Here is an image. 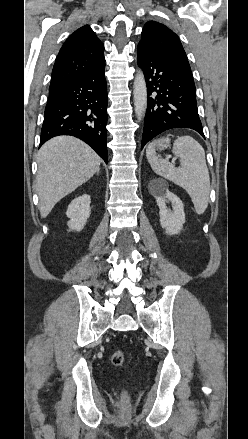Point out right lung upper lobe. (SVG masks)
Returning a JSON list of instances; mask_svg holds the SVG:
<instances>
[{"label": "right lung upper lobe", "instance_id": "cb5924a9", "mask_svg": "<svg viewBox=\"0 0 248 439\" xmlns=\"http://www.w3.org/2000/svg\"><path fill=\"white\" fill-rule=\"evenodd\" d=\"M103 51L104 45L88 25L76 30L57 55L49 90L102 66L105 63Z\"/></svg>", "mask_w": 248, "mask_h": 439}]
</instances>
